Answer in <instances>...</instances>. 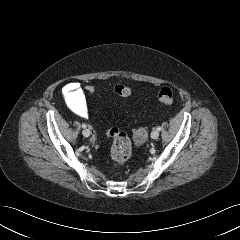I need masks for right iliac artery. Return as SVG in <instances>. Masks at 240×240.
Segmentation results:
<instances>
[{
    "mask_svg": "<svg viewBox=\"0 0 240 240\" xmlns=\"http://www.w3.org/2000/svg\"><path fill=\"white\" fill-rule=\"evenodd\" d=\"M82 127H83V128H86V127H87V125H86V124H82Z\"/></svg>",
    "mask_w": 240,
    "mask_h": 240,
    "instance_id": "obj_1",
    "label": "right iliac artery"
}]
</instances>
